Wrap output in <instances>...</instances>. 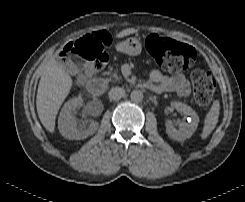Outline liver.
Segmentation results:
<instances>
[{
	"label": "liver",
	"mask_w": 245,
	"mask_h": 202,
	"mask_svg": "<svg viewBox=\"0 0 245 202\" xmlns=\"http://www.w3.org/2000/svg\"><path fill=\"white\" fill-rule=\"evenodd\" d=\"M135 32L134 28L124 29L116 37L122 38ZM72 85L71 76L56 61L47 63L39 81L36 107L42 125L51 133L55 130L56 116Z\"/></svg>",
	"instance_id": "1"
}]
</instances>
